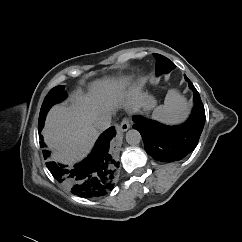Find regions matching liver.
Returning a JSON list of instances; mask_svg holds the SVG:
<instances>
[{
	"label": "liver",
	"instance_id": "6515ba94",
	"mask_svg": "<svg viewBox=\"0 0 242 242\" xmlns=\"http://www.w3.org/2000/svg\"><path fill=\"white\" fill-rule=\"evenodd\" d=\"M123 90L124 86L117 87L112 80H99L92 84L90 94L78 90L68 103L49 111L42 134L58 160L73 163L90 152L99 136L95 121L102 113L111 114L119 107L145 111L152 108L149 95L140 87Z\"/></svg>",
	"mask_w": 242,
	"mask_h": 242
}]
</instances>
